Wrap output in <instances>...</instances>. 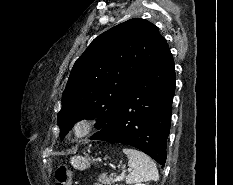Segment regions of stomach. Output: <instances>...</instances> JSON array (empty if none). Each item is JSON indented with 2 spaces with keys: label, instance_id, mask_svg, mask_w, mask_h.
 I'll use <instances>...</instances> for the list:
<instances>
[{
  "label": "stomach",
  "instance_id": "stomach-1",
  "mask_svg": "<svg viewBox=\"0 0 233 185\" xmlns=\"http://www.w3.org/2000/svg\"><path fill=\"white\" fill-rule=\"evenodd\" d=\"M94 160L90 158L83 157V156H74L71 158V164L75 169L78 170H85L86 168L90 167V164Z\"/></svg>",
  "mask_w": 233,
  "mask_h": 185
}]
</instances>
